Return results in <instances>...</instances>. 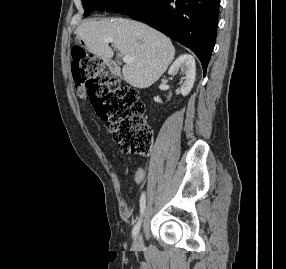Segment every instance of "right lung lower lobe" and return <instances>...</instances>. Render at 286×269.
Returning a JSON list of instances; mask_svg holds the SVG:
<instances>
[{
  "instance_id": "98d812e1",
  "label": "right lung lower lobe",
  "mask_w": 286,
  "mask_h": 269,
  "mask_svg": "<svg viewBox=\"0 0 286 269\" xmlns=\"http://www.w3.org/2000/svg\"><path fill=\"white\" fill-rule=\"evenodd\" d=\"M219 5L220 0H155L129 16L191 49L205 73L215 44Z\"/></svg>"
}]
</instances>
